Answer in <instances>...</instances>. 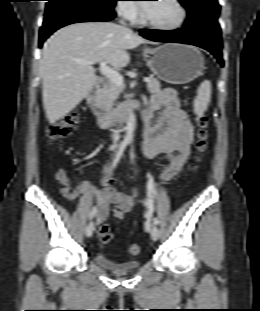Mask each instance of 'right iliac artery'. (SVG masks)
<instances>
[{"instance_id": "1", "label": "right iliac artery", "mask_w": 260, "mask_h": 311, "mask_svg": "<svg viewBox=\"0 0 260 311\" xmlns=\"http://www.w3.org/2000/svg\"><path fill=\"white\" fill-rule=\"evenodd\" d=\"M127 144H128L127 141L121 142V144L119 146V150L117 151L116 156H115V158H114V160L112 162L111 170H113L116 167V165H117L120 157L122 156V154H123ZM96 212H97L96 207H94L93 210H92V213L90 215V219H92L95 216Z\"/></svg>"}]
</instances>
